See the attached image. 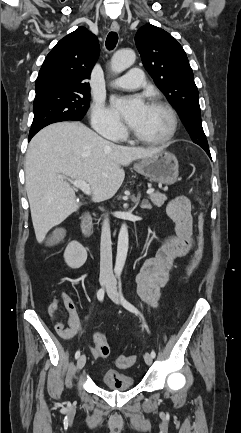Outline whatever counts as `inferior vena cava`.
<instances>
[{"mask_svg":"<svg viewBox=\"0 0 241 433\" xmlns=\"http://www.w3.org/2000/svg\"><path fill=\"white\" fill-rule=\"evenodd\" d=\"M112 242L110 223L108 216L105 217L102 225L101 243H100V280L114 281L112 267Z\"/></svg>","mask_w":241,"mask_h":433,"instance_id":"1","label":"inferior vena cava"}]
</instances>
